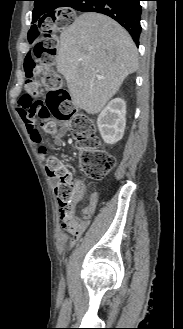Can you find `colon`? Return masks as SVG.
Instances as JSON below:
<instances>
[{"mask_svg": "<svg viewBox=\"0 0 183 329\" xmlns=\"http://www.w3.org/2000/svg\"><path fill=\"white\" fill-rule=\"evenodd\" d=\"M71 21H76V14L65 10L58 14H42L41 19H36L32 30L28 31L33 49L24 61L25 93L18 97L17 112L36 115L42 128L49 133L55 132L51 117L69 122L72 135L81 149L80 166L83 173L90 179L101 180L113 169L115 157L99 148L92 121L74 109L68 92L61 86V78L52 68L56 59V38L60 37V32H65V26H71ZM40 81H44L48 89L45 100L41 98ZM36 129L39 132L37 126ZM45 169L48 176L58 182L55 190L60 210L66 212L77 207L79 190L62 162L55 156H49ZM63 226L73 233L79 231L77 226L71 224Z\"/></svg>", "mask_w": 183, "mask_h": 329, "instance_id": "obj_1", "label": "colon"}]
</instances>
